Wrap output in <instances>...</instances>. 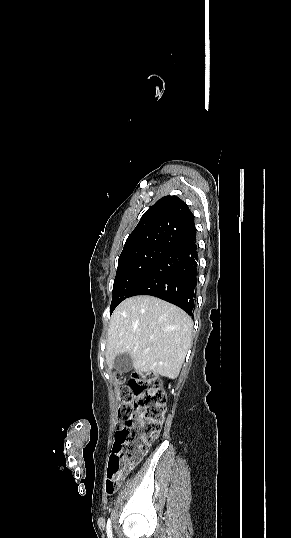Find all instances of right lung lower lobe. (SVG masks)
Here are the masks:
<instances>
[{"label": "right lung lower lobe", "instance_id": "obj_1", "mask_svg": "<svg viewBox=\"0 0 291 538\" xmlns=\"http://www.w3.org/2000/svg\"><path fill=\"white\" fill-rule=\"evenodd\" d=\"M196 235L171 248L133 289L130 296L151 295L193 316L197 286Z\"/></svg>", "mask_w": 291, "mask_h": 538}]
</instances>
